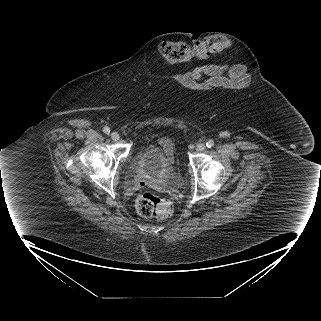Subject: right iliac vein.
<instances>
[{
  "instance_id": "obj_1",
  "label": "right iliac vein",
  "mask_w": 321,
  "mask_h": 321,
  "mask_svg": "<svg viewBox=\"0 0 321 321\" xmlns=\"http://www.w3.org/2000/svg\"><path fill=\"white\" fill-rule=\"evenodd\" d=\"M111 138H112L114 141H117V140L120 138V136H119V134H118L117 132H112V133H111Z\"/></svg>"
}]
</instances>
